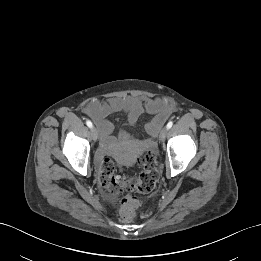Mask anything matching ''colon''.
Returning <instances> with one entry per match:
<instances>
[{
  "label": "colon",
  "instance_id": "colon-1",
  "mask_svg": "<svg viewBox=\"0 0 261 261\" xmlns=\"http://www.w3.org/2000/svg\"><path fill=\"white\" fill-rule=\"evenodd\" d=\"M142 172L133 177H119L115 174L113 160L106 157L100 166L99 180L108 192L115 195H123L120 208L121 217L125 220L132 219L135 215L136 200L134 193H151L158 184V162L155 153L151 149L144 150L139 157Z\"/></svg>",
  "mask_w": 261,
  "mask_h": 261
}]
</instances>
